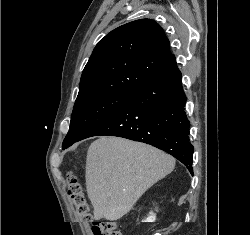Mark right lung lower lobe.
<instances>
[{"label":"right lung lower lobe","mask_w":250,"mask_h":235,"mask_svg":"<svg viewBox=\"0 0 250 235\" xmlns=\"http://www.w3.org/2000/svg\"><path fill=\"white\" fill-rule=\"evenodd\" d=\"M181 72L175 57L158 76L149 81L115 112L88 130L78 141L110 135L155 146L181 161L193 173V145L185 115Z\"/></svg>","instance_id":"1"}]
</instances>
